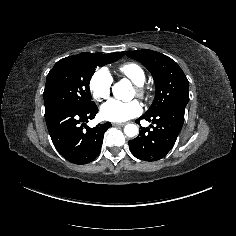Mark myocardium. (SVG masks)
Instances as JSON below:
<instances>
[{
  "label": "myocardium",
  "mask_w": 236,
  "mask_h": 236,
  "mask_svg": "<svg viewBox=\"0 0 236 236\" xmlns=\"http://www.w3.org/2000/svg\"><path fill=\"white\" fill-rule=\"evenodd\" d=\"M134 89L136 91V97L144 99L146 96V88L143 83H134Z\"/></svg>",
  "instance_id": "1"
}]
</instances>
